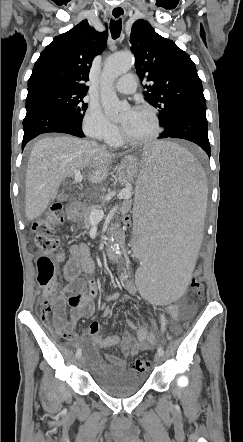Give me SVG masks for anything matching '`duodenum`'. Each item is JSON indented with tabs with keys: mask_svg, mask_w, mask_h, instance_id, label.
Returning <instances> with one entry per match:
<instances>
[{
	"mask_svg": "<svg viewBox=\"0 0 243 442\" xmlns=\"http://www.w3.org/2000/svg\"><path fill=\"white\" fill-rule=\"evenodd\" d=\"M77 210L76 203H73L71 206V211L75 213ZM124 239V233L119 231L116 235V238L113 242H110L109 247L107 249V255L109 258H116L117 254L122 251L121 242Z\"/></svg>",
	"mask_w": 243,
	"mask_h": 442,
	"instance_id": "1",
	"label": "duodenum"
}]
</instances>
